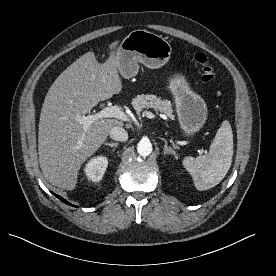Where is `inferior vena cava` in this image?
<instances>
[{"mask_svg": "<svg viewBox=\"0 0 276 276\" xmlns=\"http://www.w3.org/2000/svg\"><path fill=\"white\" fill-rule=\"evenodd\" d=\"M110 138L116 141L125 142L128 139V133L127 131L120 127V126H114L109 131Z\"/></svg>", "mask_w": 276, "mask_h": 276, "instance_id": "inferior-vena-cava-1", "label": "inferior vena cava"}]
</instances>
